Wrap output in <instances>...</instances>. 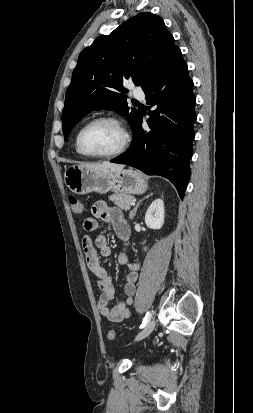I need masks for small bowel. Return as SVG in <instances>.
Segmentation results:
<instances>
[{"instance_id":"1","label":"small bowel","mask_w":253,"mask_h":413,"mask_svg":"<svg viewBox=\"0 0 253 413\" xmlns=\"http://www.w3.org/2000/svg\"><path fill=\"white\" fill-rule=\"evenodd\" d=\"M99 219L112 225L116 235L120 239L124 241L128 240L130 229L120 209L108 206L104 201L95 202L91 208V216L85 218L83 221L84 230L87 233L96 231L98 229ZM82 248L87 266L96 277V284L99 289V299L97 301L99 313L110 322H121L129 318L133 312L131 306L134 302L136 282L139 278V264L131 261L128 254H119V264L125 266L128 270L124 283L126 299L109 307V302L114 297L115 289L112 277L100 261V256L108 257L111 254V248L107 238L104 234H98L93 240L89 234H86L82 240Z\"/></svg>"}]
</instances>
